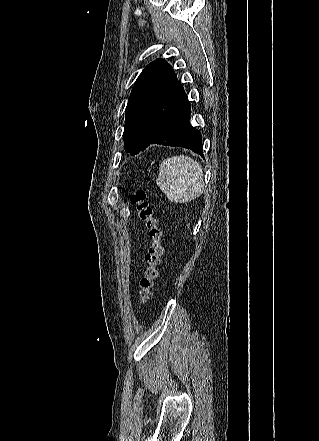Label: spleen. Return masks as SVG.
Segmentation results:
<instances>
[{"label":"spleen","instance_id":"1","mask_svg":"<svg viewBox=\"0 0 319 441\" xmlns=\"http://www.w3.org/2000/svg\"><path fill=\"white\" fill-rule=\"evenodd\" d=\"M157 184L171 202H190L204 191L201 165L186 155L164 159L160 165Z\"/></svg>","mask_w":319,"mask_h":441}]
</instances>
